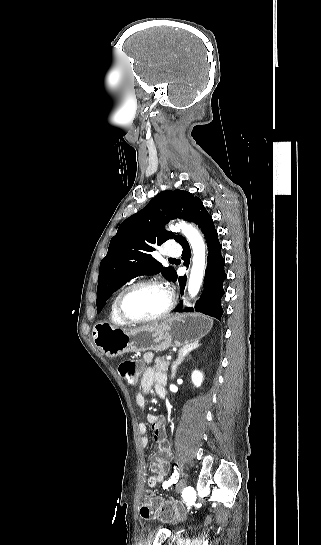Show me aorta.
Segmentation results:
<instances>
[{"label": "aorta", "mask_w": 321, "mask_h": 545, "mask_svg": "<svg viewBox=\"0 0 321 545\" xmlns=\"http://www.w3.org/2000/svg\"><path fill=\"white\" fill-rule=\"evenodd\" d=\"M169 228L173 232H182L192 248L193 258L188 281V292L191 297H195L199 292L205 273L206 245L199 231L192 225L179 222L175 225H170Z\"/></svg>", "instance_id": "obj_1"}]
</instances>
